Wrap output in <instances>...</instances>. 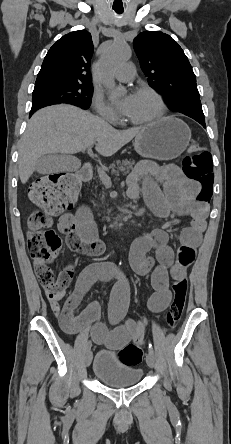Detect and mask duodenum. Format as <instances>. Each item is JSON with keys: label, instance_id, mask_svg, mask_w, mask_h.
<instances>
[{"label": "duodenum", "instance_id": "1", "mask_svg": "<svg viewBox=\"0 0 231 444\" xmlns=\"http://www.w3.org/2000/svg\"><path fill=\"white\" fill-rule=\"evenodd\" d=\"M78 176L82 181H89L92 178V169L89 165H84L78 172ZM129 213L122 214L119 218L110 223L107 227L109 234H116L127 229L129 222ZM113 273H108L105 278H110Z\"/></svg>", "mask_w": 231, "mask_h": 444}]
</instances>
